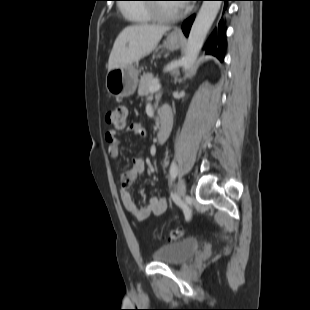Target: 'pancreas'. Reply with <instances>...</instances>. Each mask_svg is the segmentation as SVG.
Masks as SVG:
<instances>
[{
  "label": "pancreas",
  "instance_id": "obj_1",
  "mask_svg": "<svg viewBox=\"0 0 310 310\" xmlns=\"http://www.w3.org/2000/svg\"><path fill=\"white\" fill-rule=\"evenodd\" d=\"M155 83H158V82L154 78L152 73L144 74L141 77L140 82H139L138 95L147 96V95L151 94L149 89Z\"/></svg>",
  "mask_w": 310,
  "mask_h": 310
}]
</instances>
